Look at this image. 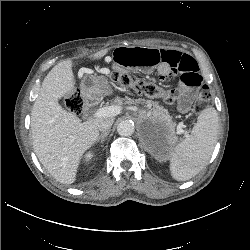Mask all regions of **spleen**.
<instances>
[{
  "mask_svg": "<svg viewBox=\"0 0 250 250\" xmlns=\"http://www.w3.org/2000/svg\"><path fill=\"white\" fill-rule=\"evenodd\" d=\"M218 126V113L214 108H206L199 114L191 135L168 156L171 175L175 180H189L203 169L214 150Z\"/></svg>",
  "mask_w": 250,
  "mask_h": 250,
  "instance_id": "1",
  "label": "spleen"
}]
</instances>
